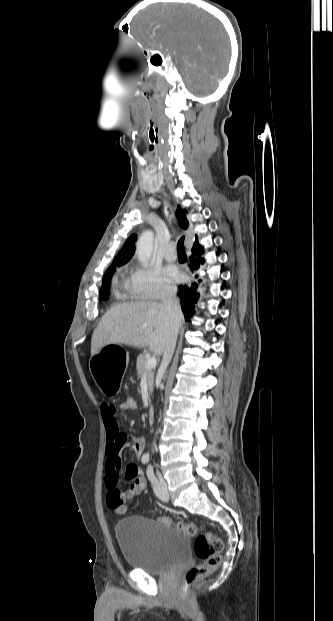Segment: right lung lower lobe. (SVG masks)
Returning <instances> with one entry per match:
<instances>
[{
  "label": "right lung lower lobe",
  "mask_w": 333,
  "mask_h": 621,
  "mask_svg": "<svg viewBox=\"0 0 333 621\" xmlns=\"http://www.w3.org/2000/svg\"><path fill=\"white\" fill-rule=\"evenodd\" d=\"M192 253L189 257L190 260V269L191 271H196L200 268L201 264L204 263L202 259L203 248L198 245H193ZM197 278V275L195 276ZM200 281V280H199ZM197 284L193 283L191 287L186 285L179 286L178 296L181 299V307L182 311L185 315V319L188 320L194 311V304L197 303L199 299V294L196 292Z\"/></svg>",
  "instance_id": "obj_1"
}]
</instances>
